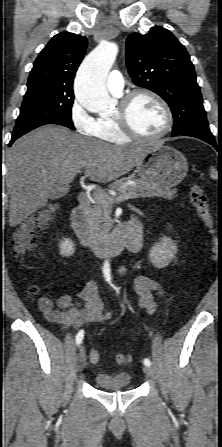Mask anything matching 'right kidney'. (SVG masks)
Segmentation results:
<instances>
[{"instance_id":"ca27d5eb","label":"right kidney","mask_w":222,"mask_h":447,"mask_svg":"<svg viewBox=\"0 0 222 447\" xmlns=\"http://www.w3.org/2000/svg\"><path fill=\"white\" fill-rule=\"evenodd\" d=\"M60 254L62 256H72L75 252V246L71 239L63 238L59 243Z\"/></svg>"}]
</instances>
